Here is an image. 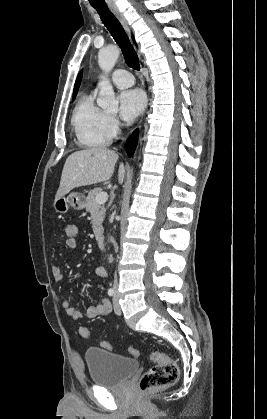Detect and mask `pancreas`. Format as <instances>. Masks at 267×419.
<instances>
[{
    "label": "pancreas",
    "mask_w": 267,
    "mask_h": 419,
    "mask_svg": "<svg viewBox=\"0 0 267 419\" xmlns=\"http://www.w3.org/2000/svg\"><path fill=\"white\" fill-rule=\"evenodd\" d=\"M101 192L100 188H94L88 193L86 198V210L91 213L92 218V229L96 236L99 238L103 232L102 222L105 217L104 203L99 204L96 202V196Z\"/></svg>",
    "instance_id": "1"
}]
</instances>
